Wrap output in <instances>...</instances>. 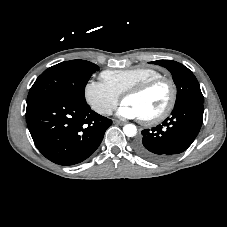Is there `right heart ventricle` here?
<instances>
[{
	"instance_id": "1",
	"label": "right heart ventricle",
	"mask_w": 227,
	"mask_h": 227,
	"mask_svg": "<svg viewBox=\"0 0 227 227\" xmlns=\"http://www.w3.org/2000/svg\"><path fill=\"white\" fill-rule=\"evenodd\" d=\"M100 76L102 81L120 96L132 87L162 76V73L154 68L138 66L125 70H106Z\"/></svg>"
}]
</instances>
